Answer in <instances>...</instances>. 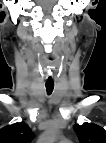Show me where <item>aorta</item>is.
I'll list each match as a JSON object with an SVG mask.
<instances>
[{"label": "aorta", "instance_id": "aorta-1", "mask_svg": "<svg viewBox=\"0 0 106 143\" xmlns=\"http://www.w3.org/2000/svg\"><path fill=\"white\" fill-rule=\"evenodd\" d=\"M55 131L54 130H50L47 132L46 136H45V141L47 142H53L55 140Z\"/></svg>", "mask_w": 106, "mask_h": 143}]
</instances>
